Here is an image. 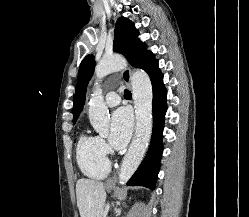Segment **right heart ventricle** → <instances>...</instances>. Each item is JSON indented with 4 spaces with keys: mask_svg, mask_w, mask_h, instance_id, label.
<instances>
[{
    "mask_svg": "<svg viewBox=\"0 0 249 217\" xmlns=\"http://www.w3.org/2000/svg\"><path fill=\"white\" fill-rule=\"evenodd\" d=\"M76 159L82 173L92 179H103L110 164L99 146V138L82 133L76 147Z\"/></svg>",
    "mask_w": 249,
    "mask_h": 217,
    "instance_id": "right-heart-ventricle-1",
    "label": "right heart ventricle"
}]
</instances>
